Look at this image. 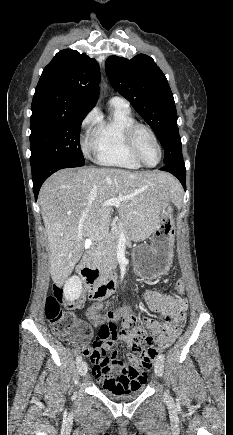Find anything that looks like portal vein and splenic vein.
<instances>
[{
  "instance_id": "18ae733b",
  "label": "portal vein and splenic vein",
  "mask_w": 233,
  "mask_h": 435,
  "mask_svg": "<svg viewBox=\"0 0 233 435\" xmlns=\"http://www.w3.org/2000/svg\"><path fill=\"white\" fill-rule=\"evenodd\" d=\"M122 200H123L122 198H114V199H110V200H107V201L103 202V203L101 204V206H102V207H107V206H116V207H118L119 204H120V202H121ZM118 226L120 227L121 234H123V233H124V226H123V224H122V223H119Z\"/></svg>"
}]
</instances>
